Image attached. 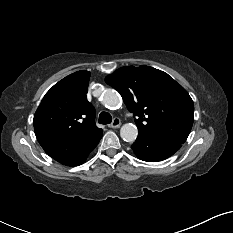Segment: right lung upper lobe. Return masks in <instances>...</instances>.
<instances>
[{"instance_id": "cb5924a9", "label": "right lung upper lobe", "mask_w": 233, "mask_h": 233, "mask_svg": "<svg viewBox=\"0 0 233 233\" xmlns=\"http://www.w3.org/2000/svg\"><path fill=\"white\" fill-rule=\"evenodd\" d=\"M90 72L63 78L44 96L33 124L38 142H80L102 131L94 122L95 110L86 98Z\"/></svg>"}]
</instances>
